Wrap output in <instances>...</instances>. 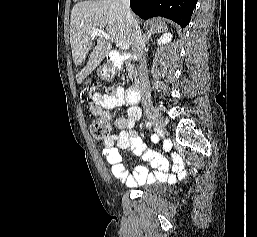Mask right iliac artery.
Listing matches in <instances>:
<instances>
[{"label": "right iliac artery", "instance_id": "right-iliac-artery-1", "mask_svg": "<svg viewBox=\"0 0 257 237\" xmlns=\"http://www.w3.org/2000/svg\"><path fill=\"white\" fill-rule=\"evenodd\" d=\"M146 126H147V128L151 129V123L150 122H147Z\"/></svg>", "mask_w": 257, "mask_h": 237}]
</instances>
